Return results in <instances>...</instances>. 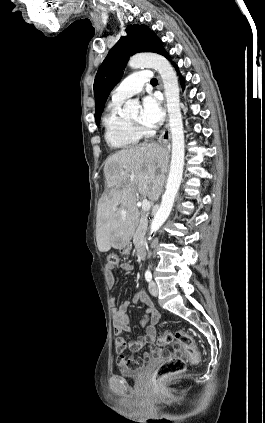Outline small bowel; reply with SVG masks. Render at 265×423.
I'll return each mask as SVG.
<instances>
[{
  "instance_id": "obj_1",
  "label": "small bowel",
  "mask_w": 265,
  "mask_h": 423,
  "mask_svg": "<svg viewBox=\"0 0 265 423\" xmlns=\"http://www.w3.org/2000/svg\"><path fill=\"white\" fill-rule=\"evenodd\" d=\"M118 266V265H117ZM120 268L125 271H131L132 265L128 263H120ZM116 266H112L110 264L107 265L106 268V278L107 283L110 288L114 286V279L112 276V269ZM140 301L145 307V315L142 319V325L145 326V333L143 336L138 337L136 340L129 344V349L132 352H138L144 346H148V350L144 353L143 359L140 361H134L137 366L141 365L145 360L151 359L156 355V348H155V338H156V324L160 318L159 312L154 308L152 301L150 298L143 292L138 291L132 301H124L120 305H117V299L112 297L110 300L111 305L113 306V325L117 335L122 333L130 332V325H129V318L127 315V310L132 303ZM116 348L120 353L119 363L122 365L128 359L124 356V352H120L121 345H124V351L126 349V342L123 338L117 337L116 341Z\"/></svg>"
}]
</instances>
